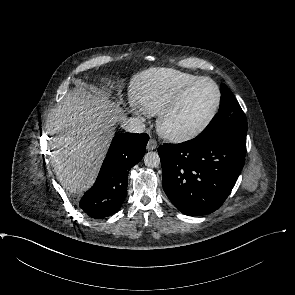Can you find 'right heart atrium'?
Listing matches in <instances>:
<instances>
[{"instance_id": "right-heart-atrium-1", "label": "right heart atrium", "mask_w": 295, "mask_h": 295, "mask_svg": "<svg viewBox=\"0 0 295 295\" xmlns=\"http://www.w3.org/2000/svg\"><path fill=\"white\" fill-rule=\"evenodd\" d=\"M132 110L135 113H137L138 115H141V116H144V117L151 115L142 106H136L135 104H132Z\"/></svg>"}]
</instances>
